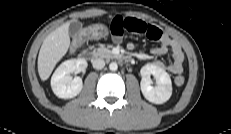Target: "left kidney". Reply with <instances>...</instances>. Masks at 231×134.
Masks as SVG:
<instances>
[{
    "label": "left kidney",
    "mask_w": 231,
    "mask_h": 134,
    "mask_svg": "<svg viewBox=\"0 0 231 134\" xmlns=\"http://www.w3.org/2000/svg\"><path fill=\"white\" fill-rule=\"evenodd\" d=\"M141 91L143 96L151 103L163 104L172 95V82L169 74L155 64H146L140 70ZM156 79V86H152L150 76Z\"/></svg>",
    "instance_id": "obj_1"
}]
</instances>
